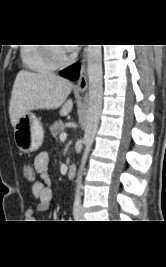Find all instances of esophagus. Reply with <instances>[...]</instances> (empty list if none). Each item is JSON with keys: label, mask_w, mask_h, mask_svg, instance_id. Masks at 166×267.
<instances>
[{"label": "esophagus", "mask_w": 166, "mask_h": 267, "mask_svg": "<svg viewBox=\"0 0 166 267\" xmlns=\"http://www.w3.org/2000/svg\"><path fill=\"white\" fill-rule=\"evenodd\" d=\"M86 61V50H84L83 57H82V64ZM88 86L87 76L84 71H81L79 80L77 82L76 88L80 91H85Z\"/></svg>", "instance_id": "esophagus-1"}]
</instances>
